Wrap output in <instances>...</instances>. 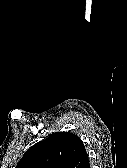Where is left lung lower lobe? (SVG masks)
Here are the masks:
<instances>
[{"instance_id": "0a47b994", "label": "left lung lower lobe", "mask_w": 127, "mask_h": 168, "mask_svg": "<svg viewBox=\"0 0 127 168\" xmlns=\"http://www.w3.org/2000/svg\"><path fill=\"white\" fill-rule=\"evenodd\" d=\"M82 168H90V165H89V162L88 160L86 159V162L84 164V166Z\"/></svg>"}]
</instances>
